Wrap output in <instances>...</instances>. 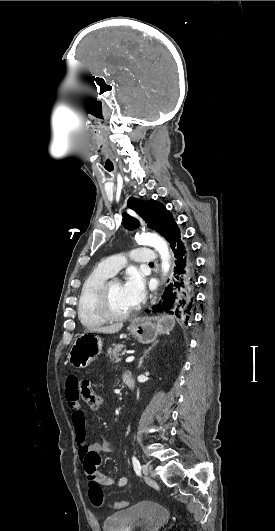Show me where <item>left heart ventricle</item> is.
<instances>
[{"instance_id":"b2bd125f","label":"left heart ventricle","mask_w":275,"mask_h":531,"mask_svg":"<svg viewBox=\"0 0 275 531\" xmlns=\"http://www.w3.org/2000/svg\"><path fill=\"white\" fill-rule=\"evenodd\" d=\"M109 301L112 311L117 315L128 313L134 309L130 304L120 282H113L109 287Z\"/></svg>"}]
</instances>
